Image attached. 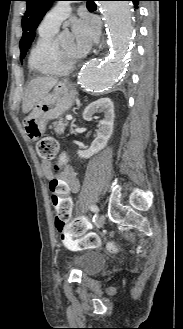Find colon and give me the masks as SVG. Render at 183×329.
I'll return each instance as SVG.
<instances>
[{
	"instance_id": "5ec220e1",
	"label": "colon",
	"mask_w": 183,
	"mask_h": 329,
	"mask_svg": "<svg viewBox=\"0 0 183 329\" xmlns=\"http://www.w3.org/2000/svg\"><path fill=\"white\" fill-rule=\"evenodd\" d=\"M37 152L42 159L54 160L58 159L59 163L66 160L65 155H58L59 146L55 138L46 136L40 139L37 143ZM55 169H58L56 166ZM65 187V186H64ZM71 218H55V224L59 231L61 239L80 238L77 242L81 248H95L99 245V238L93 234L84 235L85 231H92V224H86L85 219L79 218L70 222ZM116 245L112 244L111 249H115Z\"/></svg>"
}]
</instances>
